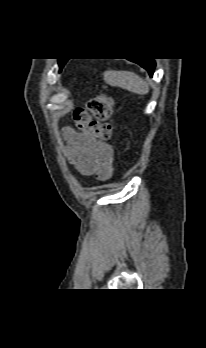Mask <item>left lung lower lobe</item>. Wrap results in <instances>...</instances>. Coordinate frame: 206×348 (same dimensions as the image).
Returning a JSON list of instances; mask_svg holds the SVG:
<instances>
[{
    "label": "left lung lower lobe",
    "instance_id": "obj_1",
    "mask_svg": "<svg viewBox=\"0 0 206 348\" xmlns=\"http://www.w3.org/2000/svg\"><path fill=\"white\" fill-rule=\"evenodd\" d=\"M131 61L145 68L149 72V75L151 77L153 76V72L155 68V62L153 59H140V60H131Z\"/></svg>",
    "mask_w": 206,
    "mask_h": 348
}]
</instances>
